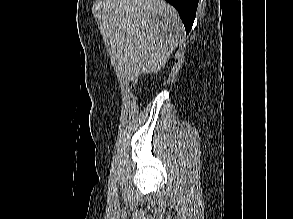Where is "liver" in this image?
<instances>
[{
    "label": "liver",
    "instance_id": "1",
    "mask_svg": "<svg viewBox=\"0 0 293 219\" xmlns=\"http://www.w3.org/2000/svg\"><path fill=\"white\" fill-rule=\"evenodd\" d=\"M183 31L177 11L164 0L103 1L101 32L125 80L160 70Z\"/></svg>",
    "mask_w": 293,
    "mask_h": 219
}]
</instances>
